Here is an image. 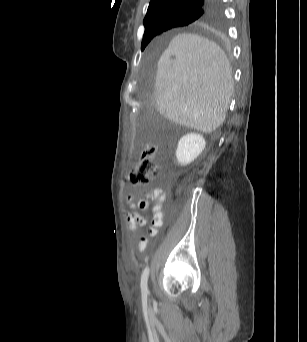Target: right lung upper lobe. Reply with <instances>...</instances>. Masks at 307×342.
<instances>
[{
    "instance_id": "right-lung-upper-lobe-1",
    "label": "right lung upper lobe",
    "mask_w": 307,
    "mask_h": 342,
    "mask_svg": "<svg viewBox=\"0 0 307 342\" xmlns=\"http://www.w3.org/2000/svg\"><path fill=\"white\" fill-rule=\"evenodd\" d=\"M219 8L220 3L216 0H151L144 26L150 27L161 13L167 11L198 9L202 11L200 17L188 25L195 31L214 33L219 22Z\"/></svg>"
}]
</instances>
